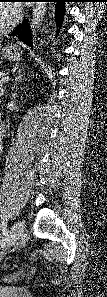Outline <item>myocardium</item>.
Listing matches in <instances>:
<instances>
[{"mask_svg":"<svg viewBox=\"0 0 107 297\" xmlns=\"http://www.w3.org/2000/svg\"><path fill=\"white\" fill-rule=\"evenodd\" d=\"M17 19H18V17H17V15H15L14 18L12 19V21H10L8 24H6L4 26H0V34L9 32L16 24Z\"/></svg>","mask_w":107,"mask_h":297,"instance_id":"f54148a6","label":"myocardium"}]
</instances>
